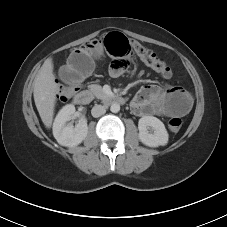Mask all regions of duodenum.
<instances>
[{
    "label": "duodenum",
    "mask_w": 227,
    "mask_h": 227,
    "mask_svg": "<svg viewBox=\"0 0 227 227\" xmlns=\"http://www.w3.org/2000/svg\"><path fill=\"white\" fill-rule=\"evenodd\" d=\"M92 100V94L88 90H82L75 97V102L77 104L85 105L90 103ZM109 100L113 103L124 104L125 98L120 95H112L109 97Z\"/></svg>",
    "instance_id": "1"
}]
</instances>
